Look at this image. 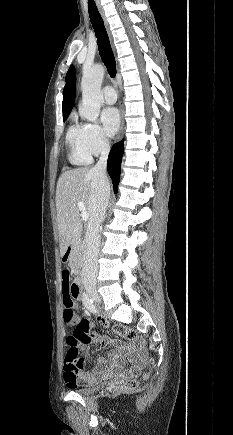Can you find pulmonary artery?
I'll use <instances>...</instances> for the list:
<instances>
[{
    "instance_id": "pulmonary-artery-1",
    "label": "pulmonary artery",
    "mask_w": 233,
    "mask_h": 435,
    "mask_svg": "<svg viewBox=\"0 0 233 435\" xmlns=\"http://www.w3.org/2000/svg\"><path fill=\"white\" fill-rule=\"evenodd\" d=\"M102 94L107 104L115 103L117 96L115 90L111 86H105L102 89Z\"/></svg>"
}]
</instances>
